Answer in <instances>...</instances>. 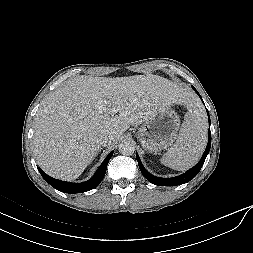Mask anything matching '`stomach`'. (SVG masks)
Wrapping results in <instances>:
<instances>
[{
  "mask_svg": "<svg viewBox=\"0 0 253 253\" xmlns=\"http://www.w3.org/2000/svg\"><path fill=\"white\" fill-rule=\"evenodd\" d=\"M180 119L170 106L160 107L138 129L137 137L149 152L170 147L177 138Z\"/></svg>",
  "mask_w": 253,
  "mask_h": 253,
  "instance_id": "0dacf381",
  "label": "stomach"
}]
</instances>
